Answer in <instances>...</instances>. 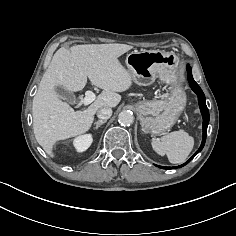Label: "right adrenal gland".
<instances>
[{
    "mask_svg": "<svg viewBox=\"0 0 236 236\" xmlns=\"http://www.w3.org/2000/svg\"><path fill=\"white\" fill-rule=\"evenodd\" d=\"M107 120H99L97 122L94 123L95 125V129H98L102 124L106 123Z\"/></svg>",
    "mask_w": 236,
    "mask_h": 236,
    "instance_id": "2a0ac1e0",
    "label": "right adrenal gland"
}]
</instances>
